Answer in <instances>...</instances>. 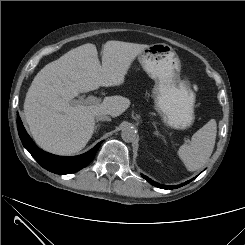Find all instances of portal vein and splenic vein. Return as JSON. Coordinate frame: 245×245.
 <instances>
[{"label": "portal vein and splenic vein", "instance_id": "1", "mask_svg": "<svg viewBox=\"0 0 245 245\" xmlns=\"http://www.w3.org/2000/svg\"><path fill=\"white\" fill-rule=\"evenodd\" d=\"M80 102H84L89 105H98L100 103V99L94 95H90L86 99H81Z\"/></svg>", "mask_w": 245, "mask_h": 245}]
</instances>
